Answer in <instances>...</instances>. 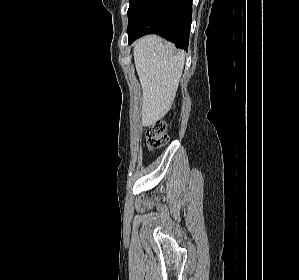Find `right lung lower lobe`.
Returning <instances> with one entry per match:
<instances>
[{"label": "right lung lower lobe", "instance_id": "obj_1", "mask_svg": "<svg viewBox=\"0 0 299 280\" xmlns=\"http://www.w3.org/2000/svg\"><path fill=\"white\" fill-rule=\"evenodd\" d=\"M192 20V0H130L128 43L157 34L187 50Z\"/></svg>", "mask_w": 299, "mask_h": 280}]
</instances>
